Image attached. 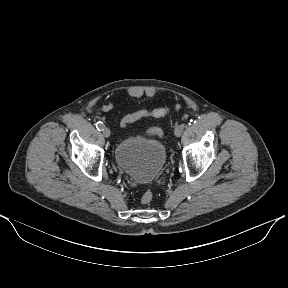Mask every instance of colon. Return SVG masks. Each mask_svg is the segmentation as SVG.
I'll use <instances>...</instances> for the list:
<instances>
[{"label": "colon", "instance_id": "colon-1", "mask_svg": "<svg viewBox=\"0 0 288 288\" xmlns=\"http://www.w3.org/2000/svg\"><path fill=\"white\" fill-rule=\"evenodd\" d=\"M175 110H179L180 106L176 105L174 107ZM170 112V108L168 107H161L153 110H139L134 113L128 114L124 116L121 120V123L124 126H127L137 120H140L142 118L146 117H154V118H159L167 115ZM148 134L150 135H157L159 137H162L163 132L160 128L158 127H153L148 130ZM153 199V193L150 190H147L146 192L143 193L141 197V203L143 204H149Z\"/></svg>", "mask_w": 288, "mask_h": 288}]
</instances>
